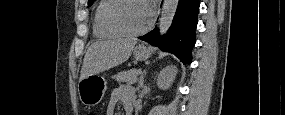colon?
Returning a JSON list of instances; mask_svg holds the SVG:
<instances>
[{
  "mask_svg": "<svg viewBox=\"0 0 285 115\" xmlns=\"http://www.w3.org/2000/svg\"><path fill=\"white\" fill-rule=\"evenodd\" d=\"M95 113H89V115H94Z\"/></svg>",
  "mask_w": 285,
  "mask_h": 115,
  "instance_id": "colon-1",
  "label": "colon"
}]
</instances>
